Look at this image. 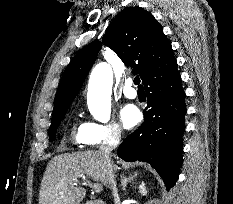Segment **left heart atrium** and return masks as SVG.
<instances>
[{"label": "left heart atrium", "instance_id": "1", "mask_svg": "<svg viewBox=\"0 0 233 204\" xmlns=\"http://www.w3.org/2000/svg\"><path fill=\"white\" fill-rule=\"evenodd\" d=\"M120 119L123 126L129 129L140 121L141 113L135 105L127 104L120 111Z\"/></svg>", "mask_w": 233, "mask_h": 204}]
</instances>
